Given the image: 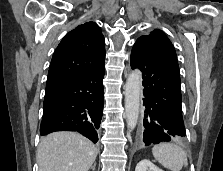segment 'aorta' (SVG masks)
I'll use <instances>...</instances> for the list:
<instances>
[{"label": "aorta", "instance_id": "obj_1", "mask_svg": "<svg viewBox=\"0 0 223 171\" xmlns=\"http://www.w3.org/2000/svg\"><path fill=\"white\" fill-rule=\"evenodd\" d=\"M142 73L140 70H133L125 86V116L128 128L133 130L138 122L140 94H141Z\"/></svg>", "mask_w": 223, "mask_h": 171}]
</instances>
